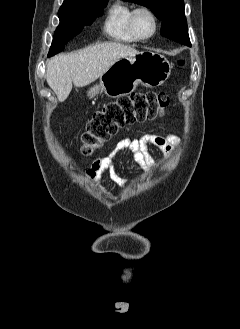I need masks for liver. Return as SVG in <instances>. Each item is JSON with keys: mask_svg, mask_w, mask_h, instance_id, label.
Wrapping results in <instances>:
<instances>
[{"mask_svg": "<svg viewBox=\"0 0 240 329\" xmlns=\"http://www.w3.org/2000/svg\"><path fill=\"white\" fill-rule=\"evenodd\" d=\"M131 46L107 42L70 54L53 57L47 64L46 80L59 102L69 96L72 85L84 87L102 76L118 59L135 56Z\"/></svg>", "mask_w": 240, "mask_h": 329, "instance_id": "obj_1", "label": "liver"}]
</instances>
